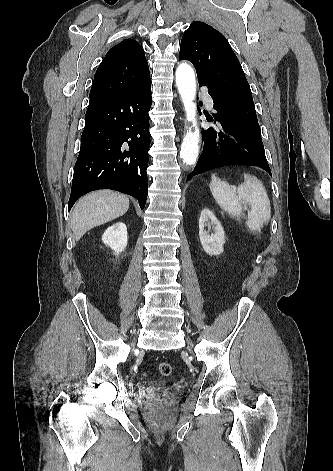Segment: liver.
I'll list each match as a JSON object with an SVG mask.
<instances>
[{"mask_svg": "<svg viewBox=\"0 0 333 471\" xmlns=\"http://www.w3.org/2000/svg\"><path fill=\"white\" fill-rule=\"evenodd\" d=\"M129 198L111 190H101L83 196L75 204L71 215V229L76 241L90 229L124 215Z\"/></svg>", "mask_w": 333, "mask_h": 471, "instance_id": "obj_1", "label": "liver"}]
</instances>
